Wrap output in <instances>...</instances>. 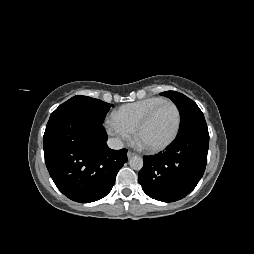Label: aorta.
Returning a JSON list of instances; mask_svg holds the SVG:
<instances>
[{"label": "aorta", "instance_id": "aorta-1", "mask_svg": "<svg viewBox=\"0 0 254 254\" xmlns=\"http://www.w3.org/2000/svg\"><path fill=\"white\" fill-rule=\"evenodd\" d=\"M129 165L134 170H141L143 167V159L140 156H134L129 160Z\"/></svg>", "mask_w": 254, "mask_h": 254}]
</instances>
